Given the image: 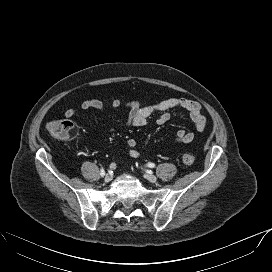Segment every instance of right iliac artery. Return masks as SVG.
Segmentation results:
<instances>
[{"mask_svg": "<svg viewBox=\"0 0 272 272\" xmlns=\"http://www.w3.org/2000/svg\"><path fill=\"white\" fill-rule=\"evenodd\" d=\"M101 176H104L105 175V171L103 169H101V173H100Z\"/></svg>", "mask_w": 272, "mask_h": 272, "instance_id": "1", "label": "right iliac artery"}]
</instances>
